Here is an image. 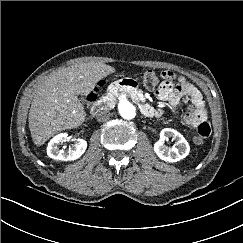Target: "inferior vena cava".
<instances>
[{
    "instance_id": "602c4592",
    "label": "inferior vena cava",
    "mask_w": 243,
    "mask_h": 243,
    "mask_svg": "<svg viewBox=\"0 0 243 243\" xmlns=\"http://www.w3.org/2000/svg\"><path fill=\"white\" fill-rule=\"evenodd\" d=\"M110 117V112L107 109L99 110L96 114V119L99 122L107 121Z\"/></svg>"
}]
</instances>
